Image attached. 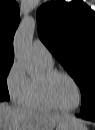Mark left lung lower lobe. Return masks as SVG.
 <instances>
[{"label":"left lung lower lobe","instance_id":"obj_1","mask_svg":"<svg viewBox=\"0 0 95 130\" xmlns=\"http://www.w3.org/2000/svg\"><path fill=\"white\" fill-rule=\"evenodd\" d=\"M80 117L86 120L95 121V104L82 108Z\"/></svg>","mask_w":95,"mask_h":130}]
</instances>
